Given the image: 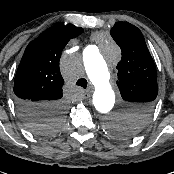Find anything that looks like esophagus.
<instances>
[{"instance_id":"34e87169","label":"esophagus","mask_w":174,"mask_h":174,"mask_svg":"<svg viewBox=\"0 0 174 174\" xmlns=\"http://www.w3.org/2000/svg\"><path fill=\"white\" fill-rule=\"evenodd\" d=\"M85 95H86V97H89L91 95V90H87Z\"/></svg>"}]
</instances>
